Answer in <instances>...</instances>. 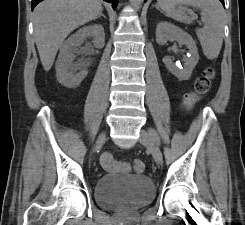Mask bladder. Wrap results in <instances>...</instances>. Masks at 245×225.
Returning a JSON list of instances; mask_svg holds the SVG:
<instances>
[{
  "label": "bladder",
  "instance_id": "31cf9c89",
  "mask_svg": "<svg viewBox=\"0 0 245 225\" xmlns=\"http://www.w3.org/2000/svg\"><path fill=\"white\" fill-rule=\"evenodd\" d=\"M93 197L96 205L104 210L132 211L154 200L155 185L143 173H108L96 181Z\"/></svg>",
  "mask_w": 245,
  "mask_h": 225
}]
</instances>
